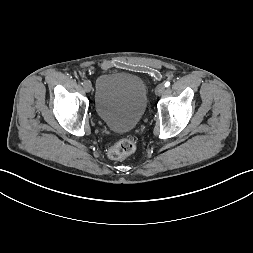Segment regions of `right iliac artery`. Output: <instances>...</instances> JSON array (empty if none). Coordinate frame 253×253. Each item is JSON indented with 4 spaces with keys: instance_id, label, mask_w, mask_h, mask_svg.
I'll use <instances>...</instances> for the list:
<instances>
[{
    "instance_id": "right-iliac-artery-1",
    "label": "right iliac artery",
    "mask_w": 253,
    "mask_h": 253,
    "mask_svg": "<svg viewBox=\"0 0 253 253\" xmlns=\"http://www.w3.org/2000/svg\"><path fill=\"white\" fill-rule=\"evenodd\" d=\"M85 82H86V81H81V83H80V84H81V85H84V84H85Z\"/></svg>"
}]
</instances>
